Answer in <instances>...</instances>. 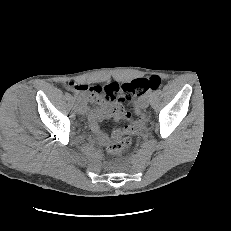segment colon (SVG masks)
I'll list each match as a JSON object with an SVG mask.
<instances>
[{
	"label": "colon",
	"mask_w": 231,
	"mask_h": 231,
	"mask_svg": "<svg viewBox=\"0 0 231 231\" xmlns=\"http://www.w3.org/2000/svg\"><path fill=\"white\" fill-rule=\"evenodd\" d=\"M162 85V79L159 76H151L150 78H138L121 86L116 85L110 87V96L113 99L119 97L130 100L136 96H140L149 89L158 90ZM132 143V139L128 135H124L119 139L107 145V152L110 154H120L124 152Z\"/></svg>",
	"instance_id": "1"
}]
</instances>
